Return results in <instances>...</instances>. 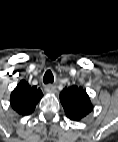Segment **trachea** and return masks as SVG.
<instances>
[{
  "mask_svg": "<svg viewBox=\"0 0 118 142\" xmlns=\"http://www.w3.org/2000/svg\"><path fill=\"white\" fill-rule=\"evenodd\" d=\"M54 81V76H53V73L51 70H47L44 77H43V82L45 84H48V83H53Z\"/></svg>",
  "mask_w": 118,
  "mask_h": 142,
  "instance_id": "3493384b",
  "label": "trachea"
}]
</instances>
